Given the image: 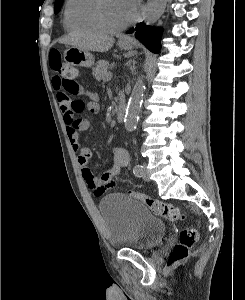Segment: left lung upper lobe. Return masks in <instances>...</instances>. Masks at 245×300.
I'll use <instances>...</instances> for the list:
<instances>
[{
	"mask_svg": "<svg viewBox=\"0 0 245 300\" xmlns=\"http://www.w3.org/2000/svg\"><path fill=\"white\" fill-rule=\"evenodd\" d=\"M63 1L64 0H56L55 1V6H54V12H55V14H57L60 11L61 6L63 4Z\"/></svg>",
	"mask_w": 245,
	"mask_h": 300,
	"instance_id": "1",
	"label": "left lung upper lobe"
}]
</instances>
